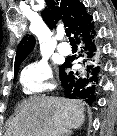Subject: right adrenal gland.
<instances>
[{
    "label": "right adrenal gland",
    "instance_id": "1",
    "mask_svg": "<svg viewBox=\"0 0 117 136\" xmlns=\"http://www.w3.org/2000/svg\"><path fill=\"white\" fill-rule=\"evenodd\" d=\"M71 135V132L70 131H67L66 133H65V136H70Z\"/></svg>",
    "mask_w": 117,
    "mask_h": 136
}]
</instances>
